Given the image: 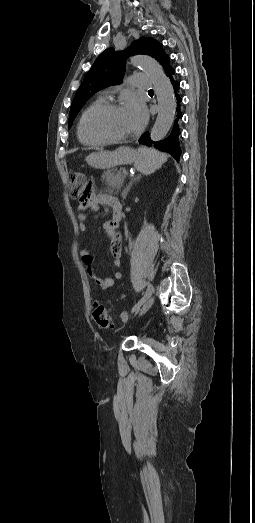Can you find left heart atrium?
I'll list each match as a JSON object with an SVG mask.
<instances>
[{
  "label": "left heart atrium",
  "instance_id": "left-heart-atrium-1",
  "mask_svg": "<svg viewBox=\"0 0 255 523\" xmlns=\"http://www.w3.org/2000/svg\"><path fill=\"white\" fill-rule=\"evenodd\" d=\"M127 106L132 111L134 121H135V130H140L147 121L148 111L145 104L139 99L132 97Z\"/></svg>",
  "mask_w": 255,
  "mask_h": 523
}]
</instances>
